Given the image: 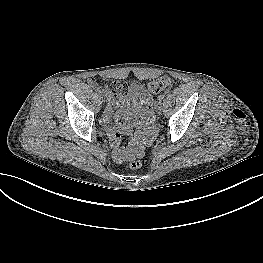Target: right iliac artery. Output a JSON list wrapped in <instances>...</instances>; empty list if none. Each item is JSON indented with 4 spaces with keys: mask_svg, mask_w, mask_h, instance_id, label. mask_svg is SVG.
I'll list each match as a JSON object with an SVG mask.
<instances>
[{
    "mask_svg": "<svg viewBox=\"0 0 263 263\" xmlns=\"http://www.w3.org/2000/svg\"><path fill=\"white\" fill-rule=\"evenodd\" d=\"M95 92H96L97 94H102V93H103V89L100 88V87H96V88H95Z\"/></svg>",
    "mask_w": 263,
    "mask_h": 263,
    "instance_id": "right-iliac-artery-1",
    "label": "right iliac artery"
}]
</instances>
